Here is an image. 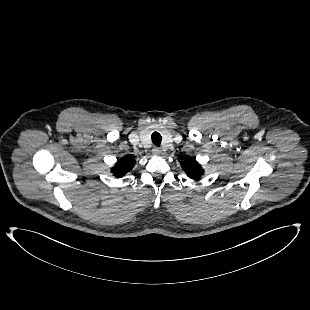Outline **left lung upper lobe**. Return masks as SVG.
<instances>
[{
  "mask_svg": "<svg viewBox=\"0 0 310 310\" xmlns=\"http://www.w3.org/2000/svg\"><path fill=\"white\" fill-rule=\"evenodd\" d=\"M181 166L191 179L197 180L203 174L202 167L191 158H185V160L181 163Z\"/></svg>",
  "mask_w": 310,
  "mask_h": 310,
  "instance_id": "5c2ea615",
  "label": "left lung upper lobe"
}]
</instances>
